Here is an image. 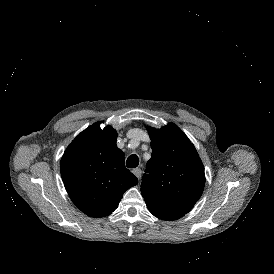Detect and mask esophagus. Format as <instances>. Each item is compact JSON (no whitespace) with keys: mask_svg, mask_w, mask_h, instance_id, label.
Here are the masks:
<instances>
[{"mask_svg":"<svg viewBox=\"0 0 274 274\" xmlns=\"http://www.w3.org/2000/svg\"><path fill=\"white\" fill-rule=\"evenodd\" d=\"M132 173L138 178L140 179L141 178V175H142V171L140 168H135L132 170Z\"/></svg>","mask_w":274,"mask_h":274,"instance_id":"obj_1","label":"esophagus"}]
</instances>
